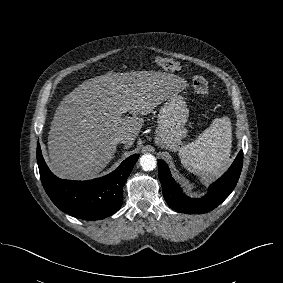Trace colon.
<instances>
[{
	"mask_svg": "<svg viewBox=\"0 0 283 283\" xmlns=\"http://www.w3.org/2000/svg\"><path fill=\"white\" fill-rule=\"evenodd\" d=\"M156 63L164 69L172 71H180L182 69L181 65L169 58L157 57ZM192 86L194 91L202 97H208L210 94V87L208 81L199 75L192 77Z\"/></svg>",
	"mask_w": 283,
	"mask_h": 283,
	"instance_id": "colon-1",
	"label": "colon"
}]
</instances>
